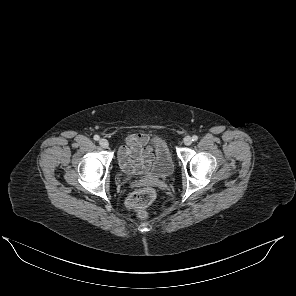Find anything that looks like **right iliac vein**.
<instances>
[{
  "label": "right iliac vein",
  "mask_w": 296,
  "mask_h": 296,
  "mask_svg": "<svg viewBox=\"0 0 296 296\" xmlns=\"http://www.w3.org/2000/svg\"><path fill=\"white\" fill-rule=\"evenodd\" d=\"M99 144L102 148H107L109 146V143L106 139H100Z\"/></svg>",
  "instance_id": "1"
}]
</instances>
